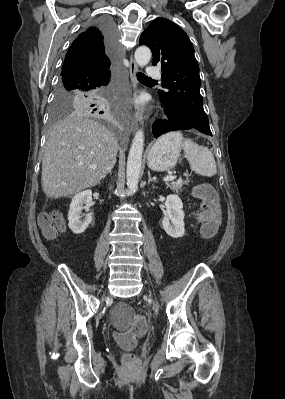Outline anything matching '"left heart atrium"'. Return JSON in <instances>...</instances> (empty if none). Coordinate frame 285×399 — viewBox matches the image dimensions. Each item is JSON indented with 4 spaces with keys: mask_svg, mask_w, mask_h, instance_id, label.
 Wrapping results in <instances>:
<instances>
[{
    "mask_svg": "<svg viewBox=\"0 0 285 399\" xmlns=\"http://www.w3.org/2000/svg\"><path fill=\"white\" fill-rule=\"evenodd\" d=\"M136 103H137V104H141V103H142V100H141L140 98H138V99H136Z\"/></svg>",
    "mask_w": 285,
    "mask_h": 399,
    "instance_id": "39dd6f15",
    "label": "left heart atrium"
}]
</instances>
